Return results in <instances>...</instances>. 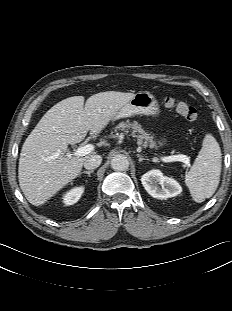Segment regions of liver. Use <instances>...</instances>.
Wrapping results in <instances>:
<instances>
[{"label": "liver", "instance_id": "1", "mask_svg": "<svg viewBox=\"0 0 232 311\" xmlns=\"http://www.w3.org/2000/svg\"><path fill=\"white\" fill-rule=\"evenodd\" d=\"M134 93L100 92L66 98L51 107L26 138L20 153L18 178L29 203L43 205L81 172L85 157H68L69 144L81 142L88 131L100 133Z\"/></svg>", "mask_w": 232, "mask_h": 311}]
</instances>
